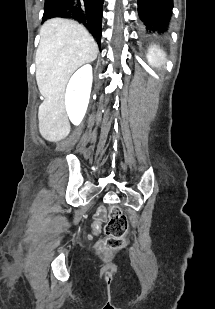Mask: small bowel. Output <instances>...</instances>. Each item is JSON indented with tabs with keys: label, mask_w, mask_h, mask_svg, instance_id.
<instances>
[{
	"label": "small bowel",
	"mask_w": 215,
	"mask_h": 309,
	"mask_svg": "<svg viewBox=\"0 0 215 309\" xmlns=\"http://www.w3.org/2000/svg\"><path fill=\"white\" fill-rule=\"evenodd\" d=\"M104 219H105V214L98 212L97 215H96V223L93 226L95 231H99V229H100L99 225L102 221H104Z\"/></svg>",
	"instance_id": "c3829d8e"
}]
</instances>
